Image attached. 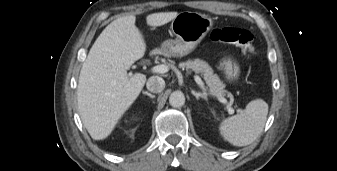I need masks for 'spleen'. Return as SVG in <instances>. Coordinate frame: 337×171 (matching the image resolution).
Instances as JSON below:
<instances>
[{"instance_id": "obj_1", "label": "spleen", "mask_w": 337, "mask_h": 171, "mask_svg": "<svg viewBox=\"0 0 337 171\" xmlns=\"http://www.w3.org/2000/svg\"><path fill=\"white\" fill-rule=\"evenodd\" d=\"M268 114V104L262 99L250 101L244 113L224 119L219 131L224 140L233 146H247L261 134Z\"/></svg>"}]
</instances>
